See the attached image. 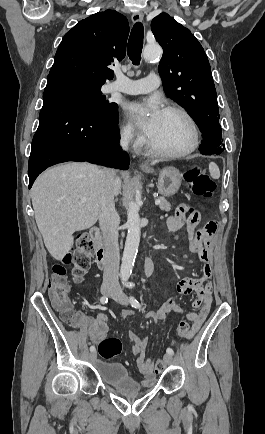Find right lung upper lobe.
Returning a JSON list of instances; mask_svg holds the SVG:
<instances>
[{"label":"right lung upper lobe","mask_w":265,"mask_h":434,"mask_svg":"<svg viewBox=\"0 0 265 434\" xmlns=\"http://www.w3.org/2000/svg\"><path fill=\"white\" fill-rule=\"evenodd\" d=\"M129 25L115 10L98 12L81 20L63 37L48 76L84 75L106 82L111 66L126 54Z\"/></svg>","instance_id":"right-lung-upper-lobe-1"}]
</instances>
